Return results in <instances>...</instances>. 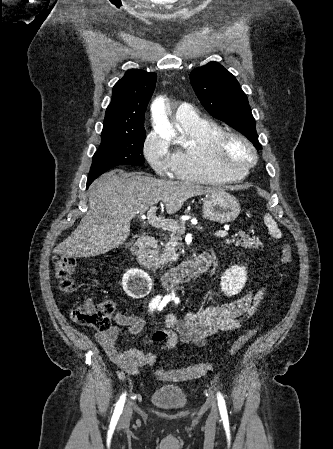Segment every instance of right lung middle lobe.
Instances as JSON below:
<instances>
[{"label": "right lung middle lobe", "mask_w": 333, "mask_h": 449, "mask_svg": "<svg viewBox=\"0 0 333 449\" xmlns=\"http://www.w3.org/2000/svg\"><path fill=\"white\" fill-rule=\"evenodd\" d=\"M145 129L137 134L102 133L100 148L95 152L88 178H97L122 164L140 166L144 163Z\"/></svg>", "instance_id": "dd1d6c3e"}]
</instances>
